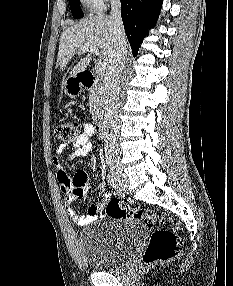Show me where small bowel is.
Segmentation results:
<instances>
[{
  "instance_id": "obj_1",
  "label": "small bowel",
  "mask_w": 233,
  "mask_h": 286,
  "mask_svg": "<svg viewBox=\"0 0 233 286\" xmlns=\"http://www.w3.org/2000/svg\"><path fill=\"white\" fill-rule=\"evenodd\" d=\"M96 129L85 124L83 132L76 138L72 146L74 147V155L77 157H87L91 154L93 145L92 137L95 136ZM68 148L67 144H59L52 158V165L55 176L61 192L64 194V203L68 210L69 217L79 226H87L99 219V203L92 202L87 206L85 214H78L71 206L78 200L82 199L88 192L89 186L87 175L84 172H78L75 176H71L63 167L60 155ZM109 194H105L102 200H107Z\"/></svg>"
}]
</instances>
